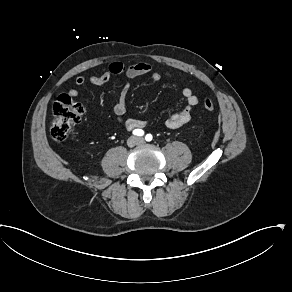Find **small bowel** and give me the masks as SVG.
Returning <instances> with one entry per match:
<instances>
[{
	"label": "small bowel",
	"instance_id": "obj_1",
	"mask_svg": "<svg viewBox=\"0 0 292 292\" xmlns=\"http://www.w3.org/2000/svg\"><path fill=\"white\" fill-rule=\"evenodd\" d=\"M112 75H123L127 78H135L143 75H149L152 80L159 81L162 77L172 79L173 76L169 72H160L153 69L152 65L146 62H140L136 64L126 65L122 62L115 61L110 64L109 68L103 71L99 75H92L88 79L83 76H79L75 80L76 86H84L87 82L92 85H103L109 81ZM130 91V85L128 83L122 84L117 102L113 106V111L117 116V123L122 125L129 130L134 128H141L145 126V122L138 120L123 121L122 116L126 112V100ZM183 97L186 99V106L178 112L169 116L166 121V127L170 129H177L186 126L192 120L193 109L197 106L199 99L189 87H184L181 90ZM70 96H77L78 92L76 89H70L68 91Z\"/></svg>",
	"mask_w": 292,
	"mask_h": 292
}]
</instances>
